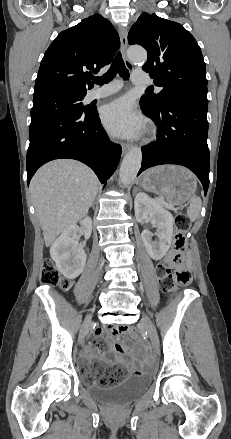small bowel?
I'll use <instances>...</instances> for the list:
<instances>
[{"mask_svg": "<svg viewBox=\"0 0 231 439\" xmlns=\"http://www.w3.org/2000/svg\"><path fill=\"white\" fill-rule=\"evenodd\" d=\"M118 334L119 333L115 329L98 328L94 333L91 344L86 350V359L92 361L96 366V369L98 365L95 364V362L101 361L105 363L108 368L114 366L115 364H121L128 367L133 373L140 372L136 366L132 350L116 341ZM104 337L111 344V355H99L96 351L97 344Z\"/></svg>", "mask_w": 231, "mask_h": 439, "instance_id": "c3829d8e", "label": "small bowel"}]
</instances>
